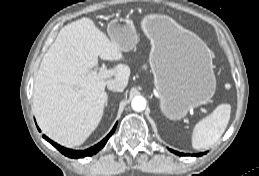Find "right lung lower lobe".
I'll list each match as a JSON object with an SVG mask.
<instances>
[{
  "mask_svg": "<svg viewBox=\"0 0 259 176\" xmlns=\"http://www.w3.org/2000/svg\"><path fill=\"white\" fill-rule=\"evenodd\" d=\"M116 125L112 129V131L97 145L93 146L92 148H89L84 151H73V150H68L62 146L57 145L55 142L51 141L49 138L43 136L45 140H47L49 143H51L54 147H56L60 152H62L64 155L72 157V158H79V157H84L88 156L91 154H94L97 152L104 144L107 142L108 138L111 136V134L114 132Z\"/></svg>",
  "mask_w": 259,
  "mask_h": 176,
  "instance_id": "obj_1",
  "label": "right lung lower lobe"
}]
</instances>
